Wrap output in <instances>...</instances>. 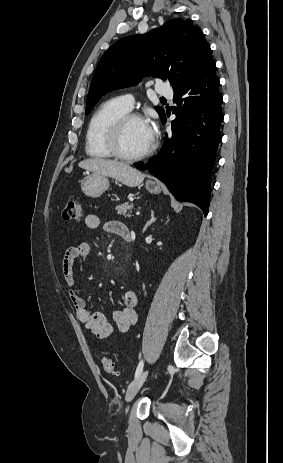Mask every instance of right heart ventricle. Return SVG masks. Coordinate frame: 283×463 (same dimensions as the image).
<instances>
[{
    "label": "right heart ventricle",
    "mask_w": 283,
    "mask_h": 463,
    "mask_svg": "<svg viewBox=\"0 0 283 463\" xmlns=\"http://www.w3.org/2000/svg\"><path fill=\"white\" fill-rule=\"evenodd\" d=\"M120 98L102 103L90 118L86 136V154L96 159H108L112 154L106 146V135L111 124L121 115L129 112Z\"/></svg>",
    "instance_id": "1"
}]
</instances>
